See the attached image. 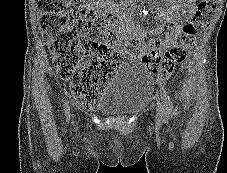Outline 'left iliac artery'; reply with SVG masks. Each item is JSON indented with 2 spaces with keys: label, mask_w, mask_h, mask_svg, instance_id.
Listing matches in <instances>:
<instances>
[{
  "label": "left iliac artery",
  "mask_w": 227,
  "mask_h": 173,
  "mask_svg": "<svg viewBox=\"0 0 227 173\" xmlns=\"http://www.w3.org/2000/svg\"><path fill=\"white\" fill-rule=\"evenodd\" d=\"M160 95H161V99H162V106H163L165 119L168 120V117H169L170 112H171L170 98L167 94V91L164 89V86H162V85H160Z\"/></svg>",
  "instance_id": "1"
}]
</instances>
